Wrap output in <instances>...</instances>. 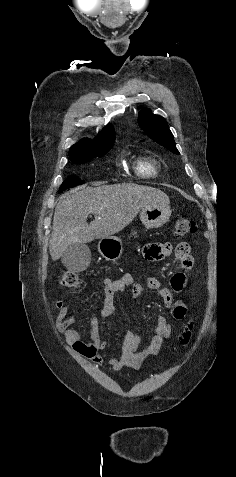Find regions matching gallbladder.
Instances as JSON below:
<instances>
[{"label":"gallbladder","mask_w":236,"mask_h":477,"mask_svg":"<svg viewBox=\"0 0 236 477\" xmlns=\"http://www.w3.org/2000/svg\"><path fill=\"white\" fill-rule=\"evenodd\" d=\"M91 260V252L84 243L71 244L61 256L63 265L70 271H84Z\"/></svg>","instance_id":"bac80fb5"}]
</instances>
